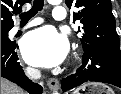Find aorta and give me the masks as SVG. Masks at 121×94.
Segmentation results:
<instances>
[{
    "label": "aorta",
    "instance_id": "obj_1",
    "mask_svg": "<svg viewBox=\"0 0 121 94\" xmlns=\"http://www.w3.org/2000/svg\"><path fill=\"white\" fill-rule=\"evenodd\" d=\"M48 1L49 3H54V4H59L61 2V0H48Z\"/></svg>",
    "mask_w": 121,
    "mask_h": 94
}]
</instances>
